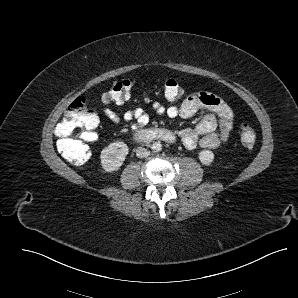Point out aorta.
Here are the masks:
<instances>
[{
  "instance_id": "obj_1",
  "label": "aorta",
  "mask_w": 298,
  "mask_h": 298,
  "mask_svg": "<svg viewBox=\"0 0 298 298\" xmlns=\"http://www.w3.org/2000/svg\"><path fill=\"white\" fill-rule=\"evenodd\" d=\"M151 150L155 153L160 152L162 150V144L160 142H153Z\"/></svg>"
}]
</instances>
